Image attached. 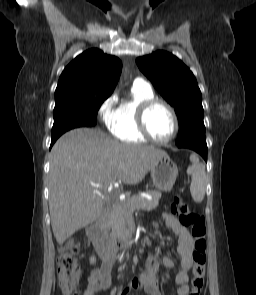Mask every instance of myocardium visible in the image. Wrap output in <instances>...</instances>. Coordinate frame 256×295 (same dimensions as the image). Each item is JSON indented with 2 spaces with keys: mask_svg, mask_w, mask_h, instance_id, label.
<instances>
[{
  "mask_svg": "<svg viewBox=\"0 0 256 295\" xmlns=\"http://www.w3.org/2000/svg\"><path fill=\"white\" fill-rule=\"evenodd\" d=\"M157 105L164 106L170 112V114L173 118L174 129H173L172 134L166 139H158V138L154 137L148 127V123H147L148 113L153 107H155ZM137 125H138L139 131L143 134V136L145 138H147L148 140H150L154 143H157V144L169 143L170 141H172L175 138V136L177 135V133L179 131V119H178L177 113L174 110V108L166 101L156 98V97L146 100V101H143L139 105V107L137 109Z\"/></svg>",
  "mask_w": 256,
  "mask_h": 295,
  "instance_id": "f54148a6",
  "label": "myocardium"
}]
</instances>
